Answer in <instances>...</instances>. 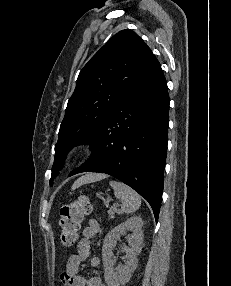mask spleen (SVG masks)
Returning <instances> with one entry per match:
<instances>
[{"label":"spleen","mask_w":231,"mask_h":286,"mask_svg":"<svg viewBox=\"0 0 231 286\" xmlns=\"http://www.w3.org/2000/svg\"><path fill=\"white\" fill-rule=\"evenodd\" d=\"M109 184L114 190L115 197L122 202L121 212L132 213L139 209L141 197L136 191L119 181L112 180Z\"/></svg>","instance_id":"obj_1"}]
</instances>
